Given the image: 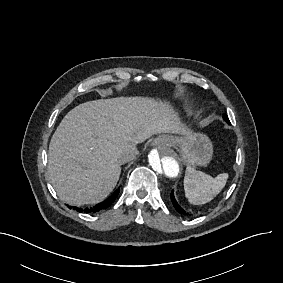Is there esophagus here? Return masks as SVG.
I'll return each mask as SVG.
<instances>
[{
    "mask_svg": "<svg viewBox=\"0 0 283 283\" xmlns=\"http://www.w3.org/2000/svg\"><path fill=\"white\" fill-rule=\"evenodd\" d=\"M168 140H169L168 136L162 135V136H159L156 139H154V143H155V145L161 146V145L166 144L168 142Z\"/></svg>",
    "mask_w": 283,
    "mask_h": 283,
    "instance_id": "1",
    "label": "esophagus"
}]
</instances>
